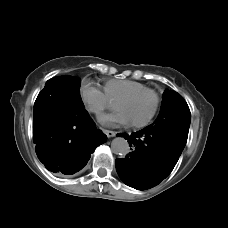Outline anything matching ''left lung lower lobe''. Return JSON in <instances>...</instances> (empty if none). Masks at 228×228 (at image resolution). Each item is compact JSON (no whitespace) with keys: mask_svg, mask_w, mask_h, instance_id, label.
<instances>
[{"mask_svg":"<svg viewBox=\"0 0 228 228\" xmlns=\"http://www.w3.org/2000/svg\"><path fill=\"white\" fill-rule=\"evenodd\" d=\"M117 136L127 139L133 148L125 158L116 159L118 175L125 184L139 190L158 185L171 173L187 141L182 132L156 125Z\"/></svg>","mask_w":228,"mask_h":228,"instance_id":"left-lung-lower-lobe-1","label":"left lung lower lobe"}]
</instances>
